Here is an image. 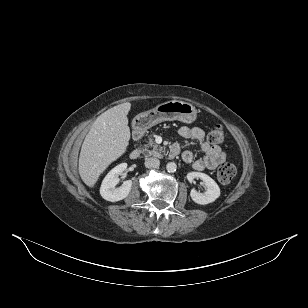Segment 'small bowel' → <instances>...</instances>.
<instances>
[{
  "instance_id": "c3829d8e",
  "label": "small bowel",
  "mask_w": 308,
  "mask_h": 308,
  "mask_svg": "<svg viewBox=\"0 0 308 308\" xmlns=\"http://www.w3.org/2000/svg\"><path fill=\"white\" fill-rule=\"evenodd\" d=\"M179 134L184 139L197 141L199 143L200 150L204 153V157L194 159V155L191 151L185 150L182 152L183 161L186 163H192L195 170H213L225 161V152L218 145H212L206 141L205 132L201 128L183 126L179 129ZM177 146L180 152V146Z\"/></svg>"
}]
</instances>
